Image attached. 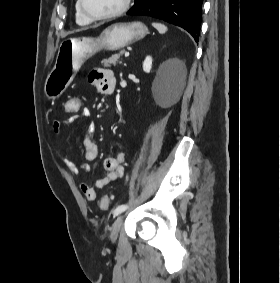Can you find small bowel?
Wrapping results in <instances>:
<instances>
[{
	"label": "small bowel",
	"instance_id": "small-bowel-1",
	"mask_svg": "<svg viewBox=\"0 0 280 283\" xmlns=\"http://www.w3.org/2000/svg\"><path fill=\"white\" fill-rule=\"evenodd\" d=\"M90 82L95 85L101 92L109 93L112 91L114 86V76L109 69H98L90 74ZM82 107V106H81ZM71 115L64 120H54L52 123L53 131L59 133L62 131L63 126L67 123L74 122L78 119H87L90 116V110L87 108H82V112H65ZM82 145L84 147V158L85 162L76 163L72 159H63L64 165L73 174L87 173L90 171L89 162L94 161L98 155V147L92 138V132L87 129L82 134L81 139ZM126 161V156L123 152L118 151L114 156L106 157L103 161V168L106 174L97 179L93 186L86 182L80 184V189L87 200L93 201L96 199V189H102L111 182L118 180L124 175V164Z\"/></svg>",
	"mask_w": 280,
	"mask_h": 283
}]
</instances>
